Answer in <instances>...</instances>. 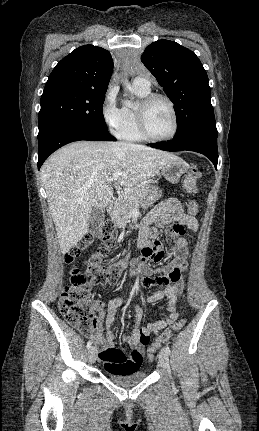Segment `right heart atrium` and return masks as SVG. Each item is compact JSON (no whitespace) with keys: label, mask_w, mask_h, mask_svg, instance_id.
Masks as SVG:
<instances>
[{"label":"right heart atrium","mask_w":259,"mask_h":431,"mask_svg":"<svg viewBox=\"0 0 259 431\" xmlns=\"http://www.w3.org/2000/svg\"><path fill=\"white\" fill-rule=\"evenodd\" d=\"M117 94V87L110 85L101 104L102 119L113 133H117L124 120L123 108L118 104Z\"/></svg>","instance_id":"1"}]
</instances>
